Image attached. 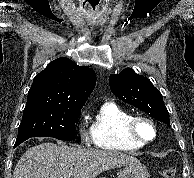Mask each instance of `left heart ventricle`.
Wrapping results in <instances>:
<instances>
[{"mask_svg":"<svg viewBox=\"0 0 194 178\" xmlns=\"http://www.w3.org/2000/svg\"><path fill=\"white\" fill-rule=\"evenodd\" d=\"M138 131L141 137L144 139H151L153 136V131L148 124L141 123L138 126Z\"/></svg>","mask_w":194,"mask_h":178,"instance_id":"left-heart-ventricle-1","label":"left heart ventricle"}]
</instances>
